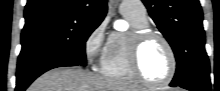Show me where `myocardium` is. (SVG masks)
I'll return each instance as SVG.
<instances>
[{
    "label": "myocardium",
    "mask_w": 220,
    "mask_h": 91,
    "mask_svg": "<svg viewBox=\"0 0 220 91\" xmlns=\"http://www.w3.org/2000/svg\"><path fill=\"white\" fill-rule=\"evenodd\" d=\"M151 39H158L160 40L164 46L166 47L169 56H170V72L168 76L159 82L151 81L147 79L140 68V53L143 45L148 42ZM128 64L130 71L132 72L133 76L135 79L143 84L144 86L147 87H163L169 84L177 70V57L175 54V51L169 42V40L162 35L159 32L149 30V29H144V30H139V31H134L129 35L128 38Z\"/></svg>",
    "instance_id": "obj_1"
}]
</instances>
